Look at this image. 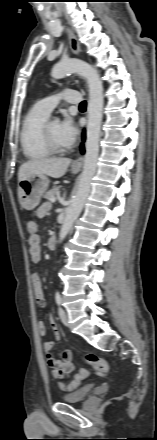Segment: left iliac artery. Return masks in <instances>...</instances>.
Masks as SVG:
<instances>
[{
  "instance_id": "44dca946",
  "label": "left iliac artery",
  "mask_w": 157,
  "mask_h": 440,
  "mask_svg": "<svg viewBox=\"0 0 157 440\" xmlns=\"http://www.w3.org/2000/svg\"><path fill=\"white\" fill-rule=\"evenodd\" d=\"M55 300L58 305L61 304V296L58 291H56V293H55Z\"/></svg>"
}]
</instances>
